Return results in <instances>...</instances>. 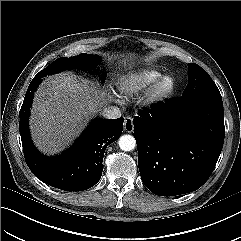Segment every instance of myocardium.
Returning <instances> with one entry per match:
<instances>
[{
	"label": "myocardium",
	"instance_id": "1",
	"mask_svg": "<svg viewBox=\"0 0 241 241\" xmlns=\"http://www.w3.org/2000/svg\"><path fill=\"white\" fill-rule=\"evenodd\" d=\"M174 90V78L170 75L160 76L147 91L145 102L149 106L158 105L170 98Z\"/></svg>",
	"mask_w": 241,
	"mask_h": 241
}]
</instances>
